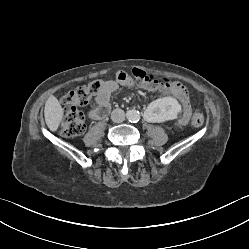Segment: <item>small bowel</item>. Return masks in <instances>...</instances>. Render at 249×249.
<instances>
[{
    "instance_id": "c3829d8e",
    "label": "small bowel",
    "mask_w": 249,
    "mask_h": 249,
    "mask_svg": "<svg viewBox=\"0 0 249 249\" xmlns=\"http://www.w3.org/2000/svg\"><path fill=\"white\" fill-rule=\"evenodd\" d=\"M157 83L155 77L145 74L144 70L140 67L134 68L130 75L119 71L116 73L114 80L105 81L103 89L95 98L98 106L89 112V117L93 120L105 119L111 110L110 100L121 86L131 88L143 85L149 89H158V94L162 96L167 95L168 92L177 96L182 104V113L178 119V123L180 125L186 124L191 114V108L185 95L184 87L180 83L173 81H164L158 85Z\"/></svg>"
}]
</instances>
